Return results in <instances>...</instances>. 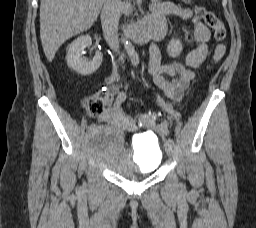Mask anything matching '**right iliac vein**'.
<instances>
[{
	"label": "right iliac vein",
	"instance_id": "obj_1",
	"mask_svg": "<svg viewBox=\"0 0 256 228\" xmlns=\"http://www.w3.org/2000/svg\"><path fill=\"white\" fill-rule=\"evenodd\" d=\"M95 135V130L94 129H90L87 135V140L93 139Z\"/></svg>",
	"mask_w": 256,
	"mask_h": 228
}]
</instances>
